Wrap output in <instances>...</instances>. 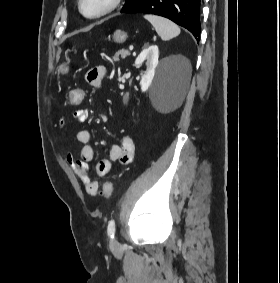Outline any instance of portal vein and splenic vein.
<instances>
[{
	"mask_svg": "<svg viewBox=\"0 0 280 283\" xmlns=\"http://www.w3.org/2000/svg\"><path fill=\"white\" fill-rule=\"evenodd\" d=\"M129 50L132 51V50H133V46H130V47H129Z\"/></svg>",
	"mask_w": 280,
	"mask_h": 283,
	"instance_id": "18ae733b",
	"label": "portal vein and splenic vein"
}]
</instances>
